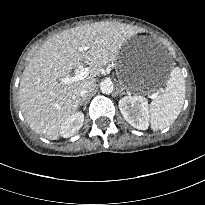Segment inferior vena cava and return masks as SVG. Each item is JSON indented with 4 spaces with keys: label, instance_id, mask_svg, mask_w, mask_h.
Returning a JSON list of instances; mask_svg holds the SVG:
<instances>
[{
    "label": "inferior vena cava",
    "instance_id": "1",
    "mask_svg": "<svg viewBox=\"0 0 205 205\" xmlns=\"http://www.w3.org/2000/svg\"><path fill=\"white\" fill-rule=\"evenodd\" d=\"M94 84V80L85 81L79 89L80 96L84 98L93 89Z\"/></svg>",
    "mask_w": 205,
    "mask_h": 205
}]
</instances>
